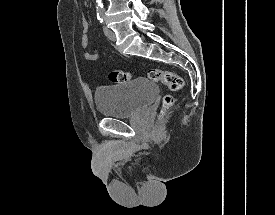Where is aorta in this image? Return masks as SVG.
<instances>
[{
  "instance_id": "1",
  "label": "aorta",
  "mask_w": 275,
  "mask_h": 215,
  "mask_svg": "<svg viewBox=\"0 0 275 215\" xmlns=\"http://www.w3.org/2000/svg\"><path fill=\"white\" fill-rule=\"evenodd\" d=\"M96 2L100 4V3H101V0H96Z\"/></svg>"
}]
</instances>
